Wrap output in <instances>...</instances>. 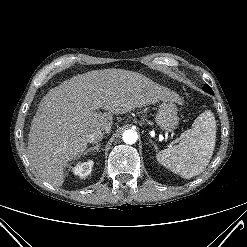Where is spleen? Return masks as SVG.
<instances>
[{
	"mask_svg": "<svg viewBox=\"0 0 247 247\" xmlns=\"http://www.w3.org/2000/svg\"><path fill=\"white\" fill-rule=\"evenodd\" d=\"M216 141V120L209 110L201 113L192 128L180 135L179 144L160 151L157 161L179 174L190 179L202 173L208 165Z\"/></svg>",
	"mask_w": 247,
	"mask_h": 247,
	"instance_id": "3e777b00",
	"label": "spleen"
}]
</instances>
